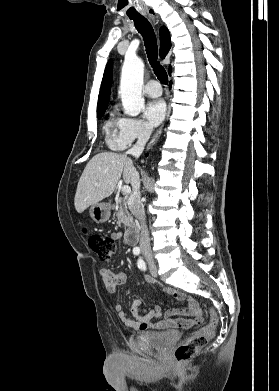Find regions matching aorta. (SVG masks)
Listing matches in <instances>:
<instances>
[{
	"label": "aorta",
	"instance_id": "obj_1",
	"mask_svg": "<svg viewBox=\"0 0 279 391\" xmlns=\"http://www.w3.org/2000/svg\"><path fill=\"white\" fill-rule=\"evenodd\" d=\"M144 63L139 57H126L122 67L120 95L126 114L137 116L144 108L143 86Z\"/></svg>",
	"mask_w": 279,
	"mask_h": 391
}]
</instances>
